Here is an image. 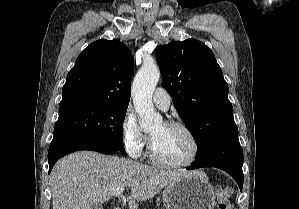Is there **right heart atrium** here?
I'll list each match as a JSON object with an SVG mask.
<instances>
[{
    "label": "right heart atrium",
    "mask_w": 299,
    "mask_h": 209,
    "mask_svg": "<svg viewBox=\"0 0 299 209\" xmlns=\"http://www.w3.org/2000/svg\"><path fill=\"white\" fill-rule=\"evenodd\" d=\"M123 144L128 154L133 158L142 156L146 146V136L142 132L135 115L126 112L121 122Z\"/></svg>",
    "instance_id": "obj_1"
}]
</instances>
